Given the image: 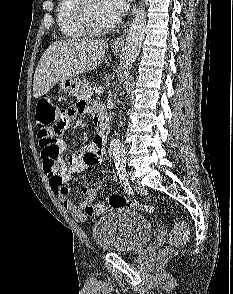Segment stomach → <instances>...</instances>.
Segmentation results:
<instances>
[{
  "instance_id": "0dacf381",
  "label": "stomach",
  "mask_w": 233,
  "mask_h": 294,
  "mask_svg": "<svg viewBox=\"0 0 233 294\" xmlns=\"http://www.w3.org/2000/svg\"><path fill=\"white\" fill-rule=\"evenodd\" d=\"M115 49V52H118ZM82 82L79 77L72 76L67 79H63L59 82V91L65 96L77 97L80 93Z\"/></svg>"
}]
</instances>
